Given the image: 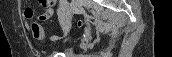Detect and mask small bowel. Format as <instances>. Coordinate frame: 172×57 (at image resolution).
<instances>
[{
    "label": "small bowel",
    "mask_w": 172,
    "mask_h": 57,
    "mask_svg": "<svg viewBox=\"0 0 172 57\" xmlns=\"http://www.w3.org/2000/svg\"><path fill=\"white\" fill-rule=\"evenodd\" d=\"M39 2L45 8V11L42 14L39 15V20L40 21H46V20H48L52 16V14H53V7L55 6L56 1L55 0H39ZM27 7L28 6H26L25 9ZM24 16L27 19L33 18L34 17V10H33V8H32V13L31 14H28L26 11H24ZM43 38H44V32H43L42 37L39 40H41Z\"/></svg>",
    "instance_id": "obj_1"
}]
</instances>
